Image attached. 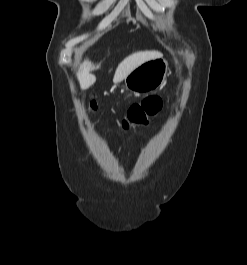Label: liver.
Returning a JSON list of instances; mask_svg holds the SVG:
<instances>
[{"label":"liver","mask_w":247,"mask_h":265,"mask_svg":"<svg viewBox=\"0 0 247 265\" xmlns=\"http://www.w3.org/2000/svg\"><path fill=\"white\" fill-rule=\"evenodd\" d=\"M160 57H162V53L155 50L138 51L132 53L131 55L127 56L122 62L119 63L113 77V82L120 83L139 65L143 64L146 61ZM99 68L100 64L94 65L89 60H85L80 65V68L77 72V78L82 88L87 89L95 83L96 77L90 72Z\"/></svg>","instance_id":"6515ba94"}]
</instances>
